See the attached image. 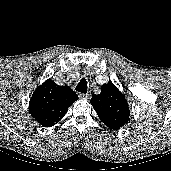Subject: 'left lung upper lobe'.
Wrapping results in <instances>:
<instances>
[{
    "label": "left lung upper lobe",
    "mask_w": 171,
    "mask_h": 171,
    "mask_svg": "<svg viewBox=\"0 0 171 171\" xmlns=\"http://www.w3.org/2000/svg\"><path fill=\"white\" fill-rule=\"evenodd\" d=\"M101 121L110 129L118 130L129 120V107L124 95L112 83L103 84L101 93L90 100Z\"/></svg>",
    "instance_id": "left-lung-upper-lobe-1"
}]
</instances>
